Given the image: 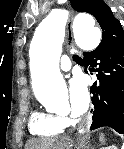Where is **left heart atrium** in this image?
I'll use <instances>...</instances> for the list:
<instances>
[{
	"instance_id": "39dd6f15",
	"label": "left heart atrium",
	"mask_w": 124,
	"mask_h": 149,
	"mask_svg": "<svg viewBox=\"0 0 124 149\" xmlns=\"http://www.w3.org/2000/svg\"><path fill=\"white\" fill-rule=\"evenodd\" d=\"M69 96L73 116H80L87 110L90 101L87 84L83 77L75 76L71 79Z\"/></svg>"
}]
</instances>
